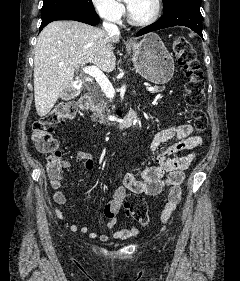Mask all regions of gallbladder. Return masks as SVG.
Masks as SVG:
<instances>
[{
  "instance_id": "1",
  "label": "gallbladder",
  "mask_w": 240,
  "mask_h": 281,
  "mask_svg": "<svg viewBox=\"0 0 240 281\" xmlns=\"http://www.w3.org/2000/svg\"><path fill=\"white\" fill-rule=\"evenodd\" d=\"M71 92H72V89L71 88H67L65 89L63 95H62V99H65V100H68L71 96Z\"/></svg>"
}]
</instances>
